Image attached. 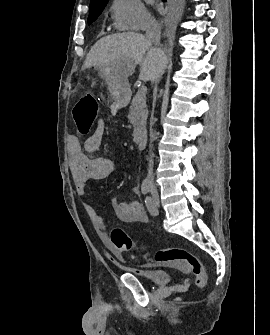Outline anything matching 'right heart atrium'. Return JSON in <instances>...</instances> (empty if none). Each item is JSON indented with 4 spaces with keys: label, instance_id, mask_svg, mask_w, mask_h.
Here are the masks:
<instances>
[{
    "label": "right heart atrium",
    "instance_id": "obj_1",
    "mask_svg": "<svg viewBox=\"0 0 270 335\" xmlns=\"http://www.w3.org/2000/svg\"><path fill=\"white\" fill-rule=\"evenodd\" d=\"M112 11L115 25L121 30L140 31V25H158L140 0H113Z\"/></svg>",
    "mask_w": 270,
    "mask_h": 335
}]
</instances>
